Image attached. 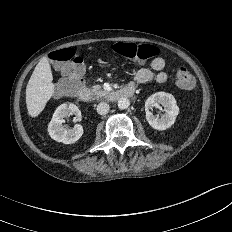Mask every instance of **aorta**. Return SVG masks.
<instances>
[{"instance_id":"1","label":"aorta","mask_w":232,"mask_h":232,"mask_svg":"<svg viewBox=\"0 0 232 232\" xmlns=\"http://www.w3.org/2000/svg\"><path fill=\"white\" fill-rule=\"evenodd\" d=\"M130 105V101L128 98H120L118 100V108L119 109H127Z\"/></svg>"}]
</instances>
